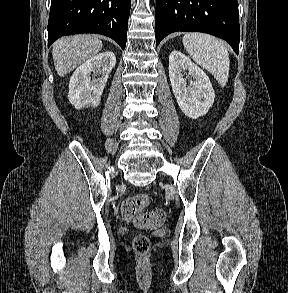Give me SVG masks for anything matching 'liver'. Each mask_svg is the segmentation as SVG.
Masks as SVG:
<instances>
[{
    "label": "liver",
    "mask_w": 288,
    "mask_h": 293,
    "mask_svg": "<svg viewBox=\"0 0 288 293\" xmlns=\"http://www.w3.org/2000/svg\"><path fill=\"white\" fill-rule=\"evenodd\" d=\"M102 41L92 35L62 37L53 44V61L60 77L95 56L102 49Z\"/></svg>",
    "instance_id": "obj_1"
}]
</instances>
